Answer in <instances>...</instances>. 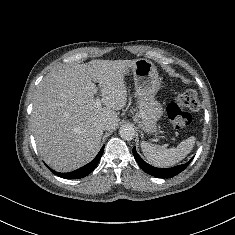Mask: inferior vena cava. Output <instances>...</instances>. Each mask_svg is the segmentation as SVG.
<instances>
[{
  "label": "inferior vena cava",
  "mask_w": 235,
  "mask_h": 235,
  "mask_svg": "<svg viewBox=\"0 0 235 235\" xmlns=\"http://www.w3.org/2000/svg\"><path fill=\"white\" fill-rule=\"evenodd\" d=\"M101 128H102L103 130H105V129L108 128V125H107L106 123H102V124H101Z\"/></svg>",
  "instance_id": "602c4592"
}]
</instances>
